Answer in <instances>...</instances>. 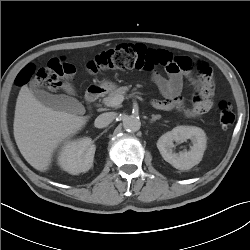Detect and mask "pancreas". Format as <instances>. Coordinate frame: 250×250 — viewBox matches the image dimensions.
Returning a JSON list of instances; mask_svg holds the SVG:
<instances>
[{
  "label": "pancreas",
  "instance_id": "obj_1",
  "mask_svg": "<svg viewBox=\"0 0 250 250\" xmlns=\"http://www.w3.org/2000/svg\"><path fill=\"white\" fill-rule=\"evenodd\" d=\"M130 89V87H127V86H122V87H119V88H116L112 91L109 92L108 96H106L105 98H103L102 102L106 105V106H109V103L110 101L115 97V96H118V95H122L124 96L126 94V92ZM136 89H134L135 91ZM134 93H137V92H134Z\"/></svg>",
  "mask_w": 250,
  "mask_h": 250
}]
</instances>
